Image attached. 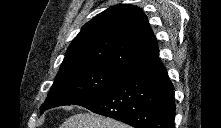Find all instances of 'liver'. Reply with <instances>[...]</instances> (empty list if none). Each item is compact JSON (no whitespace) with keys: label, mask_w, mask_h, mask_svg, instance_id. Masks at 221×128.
Wrapping results in <instances>:
<instances>
[{"label":"liver","mask_w":221,"mask_h":128,"mask_svg":"<svg viewBox=\"0 0 221 128\" xmlns=\"http://www.w3.org/2000/svg\"><path fill=\"white\" fill-rule=\"evenodd\" d=\"M60 128H129V126L95 113H79L69 117Z\"/></svg>","instance_id":"6515ba94"}]
</instances>
